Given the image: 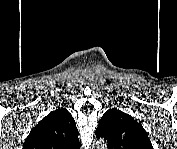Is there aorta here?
Returning a JSON list of instances; mask_svg holds the SVG:
<instances>
[{"label":"aorta","instance_id":"762f6f07","mask_svg":"<svg viewBox=\"0 0 177 149\" xmlns=\"http://www.w3.org/2000/svg\"><path fill=\"white\" fill-rule=\"evenodd\" d=\"M97 147H98V148H99V147H106V144L104 143V141H103V142L101 141V142L98 143V146H97Z\"/></svg>","mask_w":177,"mask_h":149}]
</instances>
